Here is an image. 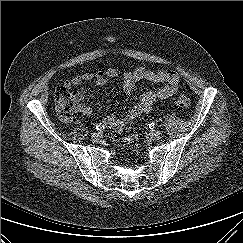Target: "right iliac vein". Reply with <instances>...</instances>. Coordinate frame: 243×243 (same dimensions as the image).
Here are the masks:
<instances>
[{"label": "right iliac vein", "mask_w": 243, "mask_h": 243, "mask_svg": "<svg viewBox=\"0 0 243 243\" xmlns=\"http://www.w3.org/2000/svg\"><path fill=\"white\" fill-rule=\"evenodd\" d=\"M91 140L93 142H97L99 140V134L98 133H92L91 134Z\"/></svg>", "instance_id": "right-iliac-vein-1"}]
</instances>
